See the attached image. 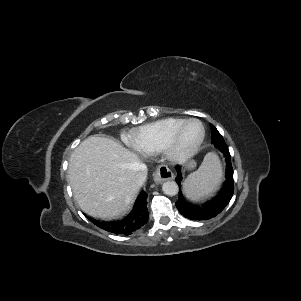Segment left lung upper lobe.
<instances>
[{
	"mask_svg": "<svg viewBox=\"0 0 301 301\" xmlns=\"http://www.w3.org/2000/svg\"><path fill=\"white\" fill-rule=\"evenodd\" d=\"M211 126V135H215V137H217V139H215V140H219L220 142H224V139H223V137H222V135L218 132V130L216 129V127H214L212 124L210 125ZM211 140H212V143L217 147L218 145H216L215 143H214V139H212V137H211Z\"/></svg>",
	"mask_w": 301,
	"mask_h": 301,
	"instance_id": "left-lung-upper-lobe-1",
	"label": "left lung upper lobe"
}]
</instances>
